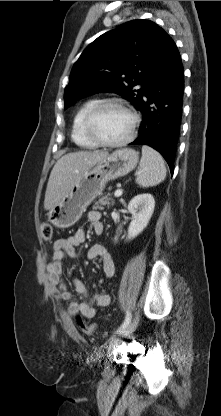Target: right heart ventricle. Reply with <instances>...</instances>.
<instances>
[{
	"label": "right heart ventricle",
	"instance_id": "obj_1",
	"mask_svg": "<svg viewBox=\"0 0 221 416\" xmlns=\"http://www.w3.org/2000/svg\"><path fill=\"white\" fill-rule=\"evenodd\" d=\"M100 101L96 98L85 101L75 112L72 122V139L80 147L94 148L97 146L85 133L84 122L90 110Z\"/></svg>",
	"mask_w": 221,
	"mask_h": 416
}]
</instances>
